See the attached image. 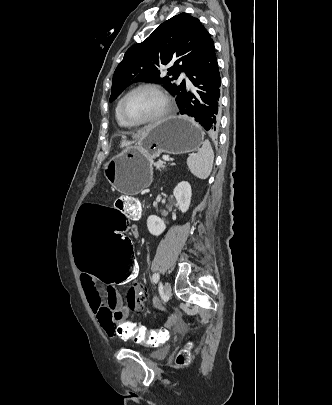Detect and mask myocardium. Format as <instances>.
Wrapping results in <instances>:
<instances>
[{"label":"myocardium","instance_id":"obj_1","mask_svg":"<svg viewBox=\"0 0 332 405\" xmlns=\"http://www.w3.org/2000/svg\"><path fill=\"white\" fill-rule=\"evenodd\" d=\"M141 89H150L155 91L162 99L163 101V108L162 110L154 117L146 119V120H141V121H132L130 120L124 112V102L125 100L135 91L141 90ZM172 109V104H171V100L168 96V94L166 93V91L159 85L154 84V83H142L139 84L135 87H133L132 89H130L128 92H126L122 98L119 101V115L121 117V119L129 124L130 126H142V125H148V124H153V123H157L161 120H163L164 118H166Z\"/></svg>","mask_w":332,"mask_h":405}]
</instances>
